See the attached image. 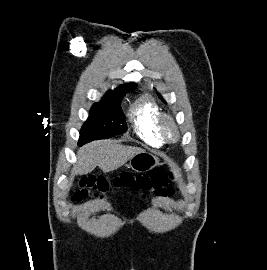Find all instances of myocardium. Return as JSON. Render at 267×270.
Here are the masks:
<instances>
[{
	"mask_svg": "<svg viewBox=\"0 0 267 270\" xmlns=\"http://www.w3.org/2000/svg\"><path fill=\"white\" fill-rule=\"evenodd\" d=\"M157 125L159 133L164 141L176 142L179 139V126L170 114L161 113L158 117Z\"/></svg>",
	"mask_w": 267,
	"mask_h": 270,
	"instance_id": "obj_1",
	"label": "myocardium"
}]
</instances>
